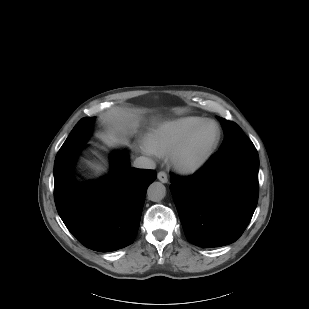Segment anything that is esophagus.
I'll return each instance as SVG.
<instances>
[{
  "instance_id": "1",
  "label": "esophagus",
  "mask_w": 309,
  "mask_h": 309,
  "mask_svg": "<svg viewBox=\"0 0 309 309\" xmlns=\"http://www.w3.org/2000/svg\"><path fill=\"white\" fill-rule=\"evenodd\" d=\"M157 178L162 183H167L168 182V176H167V174L164 171L158 172Z\"/></svg>"
}]
</instances>
